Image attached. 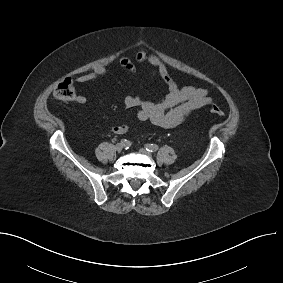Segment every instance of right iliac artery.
<instances>
[{
  "instance_id": "82829eb1",
  "label": "right iliac artery",
  "mask_w": 283,
  "mask_h": 283,
  "mask_svg": "<svg viewBox=\"0 0 283 283\" xmlns=\"http://www.w3.org/2000/svg\"><path fill=\"white\" fill-rule=\"evenodd\" d=\"M121 144L123 145V146H125V147H129V146H131V142L129 141V140H126V139H122L121 141Z\"/></svg>"
}]
</instances>
